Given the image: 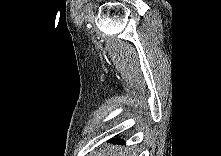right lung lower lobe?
I'll return each mask as SVG.
<instances>
[{
	"instance_id": "98d812e1",
	"label": "right lung lower lobe",
	"mask_w": 221,
	"mask_h": 156,
	"mask_svg": "<svg viewBox=\"0 0 221 156\" xmlns=\"http://www.w3.org/2000/svg\"><path fill=\"white\" fill-rule=\"evenodd\" d=\"M113 141H114V142H118V143H123V142H124L123 140H121V139H119V138H118V139L114 138Z\"/></svg>"
}]
</instances>
